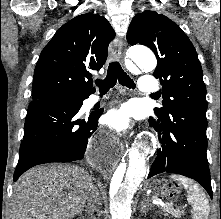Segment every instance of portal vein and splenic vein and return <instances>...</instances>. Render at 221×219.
Here are the masks:
<instances>
[{"instance_id": "18ae733b", "label": "portal vein and splenic vein", "mask_w": 221, "mask_h": 219, "mask_svg": "<svg viewBox=\"0 0 221 219\" xmlns=\"http://www.w3.org/2000/svg\"><path fill=\"white\" fill-rule=\"evenodd\" d=\"M157 204L160 205V206H162V207H164V206H170V204H165V203H163V202H158Z\"/></svg>"}]
</instances>
